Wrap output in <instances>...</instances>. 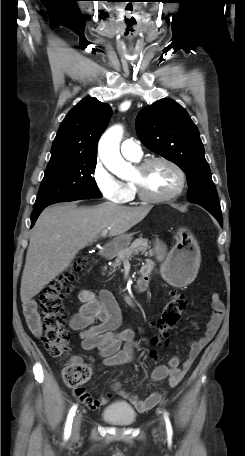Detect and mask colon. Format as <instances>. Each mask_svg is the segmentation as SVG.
<instances>
[{
    "label": "colon",
    "instance_id": "1",
    "mask_svg": "<svg viewBox=\"0 0 245 456\" xmlns=\"http://www.w3.org/2000/svg\"><path fill=\"white\" fill-rule=\"evenodd\" d=\"M85 266L86 258H77L70 268L47 284L40 294V312L44 329L43 339L47 350L53 357H63L69 351L70 334L65 327L67 312L64 300L78 282ZM185 305L186 300L182 295L172 294L159 317L151 324L157 331L152 338L154 345H163L167 342L169 332L178 323ZM151 355L155 356V352L153 351ZM91 372L92 369L88 363L79 358H73L64 367L62 379L67 386L78 388L89 380Z\"/></svg>",
    "mask_w": 245,
    "mask_h": 456
}]
</instances>
